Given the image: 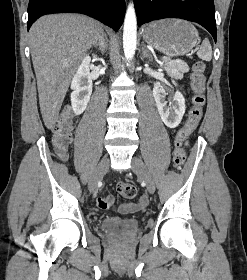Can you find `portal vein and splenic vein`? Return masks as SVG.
<instances>
[{
    "mask_svg": "<svg viewBox=\"0 0 247 280\" xmlns=\"http://www.w3.org/2000/svg\"><path fill=\"white\" fill-rule=\"evenodd\" d=\"M164 61H167V60H170V58H165V59H163Z\"/></svg>",
    "mask_w": 247,
    "mask_h": 280,
    "instance_id": "1",
    "label": "portal vein and splenic vein"
}]
</instances>
